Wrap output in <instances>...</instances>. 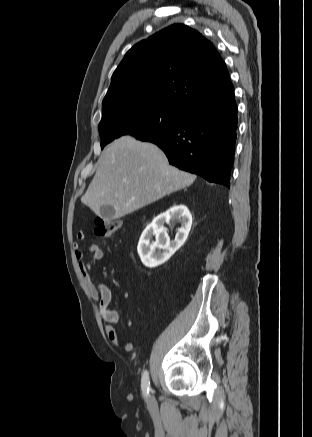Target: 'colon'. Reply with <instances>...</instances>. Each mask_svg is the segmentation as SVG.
I'll list each match as a JSON object with an SVG mask.
<instances>
[{
	"instance_id": "5ec220e1",
	"label": "colon",
	"mask_w": 312,
	"mask_h": 437,
	"mask_svg": "<svg viewBox=\"0 0 312 437\" xmlns=\"http://www.w3.org/2000/svg\"><path fill=\"white\" fill-rule=\"evenodd\" d=\"M121 227L117 220H107L101 217L95 219V234L99 237H111L115 235Z\"/></svg>"
}]
</instances>
